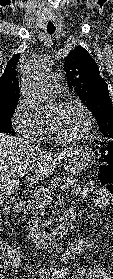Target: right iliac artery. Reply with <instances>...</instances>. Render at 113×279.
Masks as SVG:
<instances>
[{
  "label": "right iliac artery",
  "instance_id": "obj_1",
  "mask_svg": "<svg viewBox=\"0 0 113 279\" xmlns=\"http://www.w3.org/2000/svg\"><path fill=\"white\" fill-rule=\"evenodd\" d=\"M39 279H53V277H57V278H62L66 275V270L61 268V269H55V270H40L39 271Z\"/></svg>",
  "mask_w": 113,
  "mask_h": 279
}]
</instances>
